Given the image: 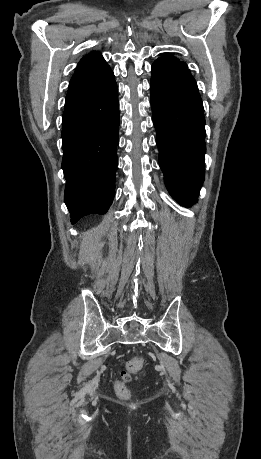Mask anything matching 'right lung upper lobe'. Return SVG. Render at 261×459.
Segmentation results:
<instances>
[{
    "mask_svg": "<svg viewBox=\"0 0 261 459\" xmlns=\"http://www.w3.org/2000/svg\"><path fill=\"white\" fill-rule=\"evenodd\" d=\"M114 79L99 52L84 56L70 80L64 112L93 99L115 82Z\"/></svg>",
    "mask_w": 261,
    "mask_h": 459,
    "instance_id": "1",
    "label": "right lung upper lobe"
}]
</instances>
